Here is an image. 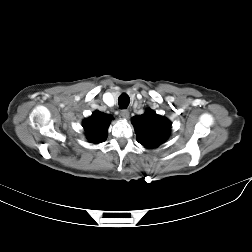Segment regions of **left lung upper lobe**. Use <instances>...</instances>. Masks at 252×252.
<instances>
[{"instance_id":"obj_1","label":"left lung upper lobe","mask_w":252,"mask_h":252,"mask_svg":"<svg viewBox=\"0 0 252 252\" xmlns=\"http://www.w3.org/2000/svg\"><path fill=\"white\" fill-rule=\"evenodd\" d=\"M137 141L146 148H156L165 142L170 136L171 122L147 109L142 115L132 118Z\"/></svg>"}]
</instances>
